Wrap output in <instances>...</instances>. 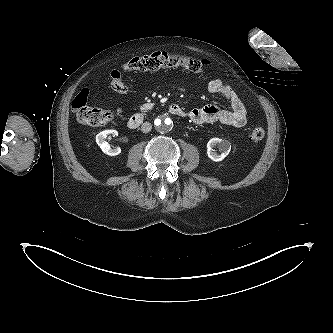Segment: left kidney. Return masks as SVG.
Segmentation results:
<instances>
[{
  "instance_id": "obj_1",
  "label": "left kidney",
  "mask_w": 333,
  "mask_h": 333,
  "mask_svg": "<svg viewBox=\"0 0 333 333\" xmlns=\"http://www.w3.org/2000/svg\"><path fill=\"white\" fill-rule=\"evenodd\" d=\"M218 147L221 154L214 152V147ZM231 151V144L227 140H222L219 138H211L207 143V155L208 157L215 161H222Z\"/></svg>"
}]
</instances>
